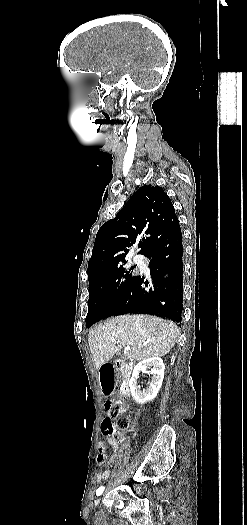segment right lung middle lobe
Listing matches in <instances>:
<instances>
[{
  "instance_id": "dd1d6c3e",
  "label": "right lung middle lobe",
  "mask_w": 247,
  "mask_h": 525,
  "mask_svg": "<svg viewBox=\"0 0 247 525\" xmlns=\"http://www.w3.org/2000/svg\"><path fill=\"white\" fill-rule=\"evenodd\" d=\"M123 267L88 274L89 301L86 326L113 315L136 276Z\"/></svg>"
}]
</instances>
